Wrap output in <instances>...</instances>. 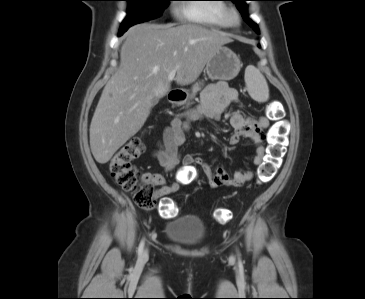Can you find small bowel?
<instances>
[{"label":"small bowel","mask_w":365,"mask_h":299,"mask_svg":"<svg viewBox=\"0 0 365 299\" xmlns=\"http://www.w3.org/2000/svg\"><path fill=\"white\" fill-rule=\"evenodd\" d=\"M238 101V92L229 88L224 83L209 84L201 96V103L183 118L175 117L166 128L160 148L154 153L166 171L174 170L182 163L181 170L172 183H167L165 178L158 173H145V182L157 185L155 196L164 198L167 195L176 193L180 186L190 182L199 171L204 175L210 186L220 187H241L253 178L251 170H238L229 174L221 167L211 168L203 160L193 157H181L179 147L184 144L191 122L203 118L217 119L224 110L234 102ZM230 124L234 131L229 138L232 145L238 144L242 139H248L256 146L253 164L259 165L266 154L265 130L269 126V120L265 116L246 117L240 113L230 115Z\"/></svg>","instance_id":"1"}]
</instances>
